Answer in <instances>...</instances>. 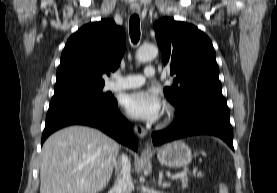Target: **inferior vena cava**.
<instances>
[{"instance_id":"inferior-vena-cava-1","label":"inferior vena cava","mask_w":277,"mask_h":193,"mask_svg":"<svg viewBox=\"0 0 277 193\" xmlns=\"http://www.w3.org/2000/svg\"><path fill=\"white\" fill-rule=\"evenodd\" d=\"M120 173L114 183V193H131L133 188L131 164L128 157L122 154L119 158Z\"/></svg>"}]
</instances>
